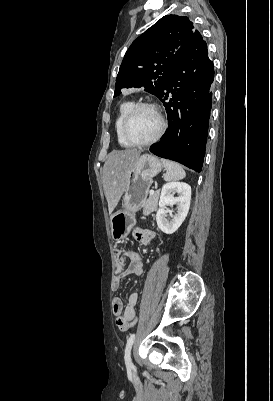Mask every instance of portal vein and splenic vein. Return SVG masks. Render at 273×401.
I'll return each instance as SVG.
<instances>
[{"instance_id": "obj_1", "label": "portal vein and splenic vein", "mask_w": 273, "mask_h": 401, "mask_svg": "<svg viewBox=\"0 0 273 401\" xmlns=\"http://www.w3.org/2000/svg\"><path fill=\"white\" fill-rule=\"evenodd\" d=\"M153 192H154V190H150L149 196H152Z\"/></svg>"}]
</instances>
